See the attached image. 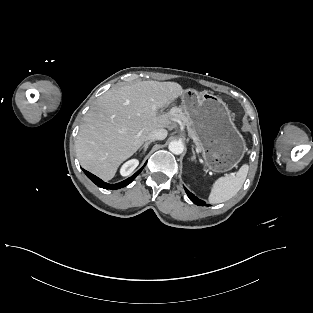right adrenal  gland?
<instances>
[{
    "instance_id": "obj_1",
    "label": "right adrenal gland",
    "mask_w": 313,
    "mask_h": 313,
    "mask_svg": "<svg viewBox=\"0 0 313 313\" xmlns=\"http://www.w3.org/2000/svg\"><path fill=\"white\" fill-rule=\"evenodd\" d=\"M152 142H154V141H146V142L141 146L140 150H143L142 153H145V152H146L148 146H149Z\"/></svg>"
}]
</instances>
